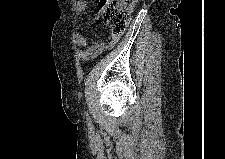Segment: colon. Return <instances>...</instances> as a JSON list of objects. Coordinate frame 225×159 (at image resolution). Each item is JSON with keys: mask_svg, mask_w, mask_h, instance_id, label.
Returning <instances> with one entry per match:
<instances>
[{"mask_svg": "<svg viewBox=\"0 0 225 159\" xmlns=\"http://www.w3.org/2000/svg\"><path fill=\"white\" fill-rule=\"evenodd\" d=\"M137 0H103L101 13L112 36H121L127 27Z\"/></svg>", "mask_w": 225, "mask_h": 159, "instance_id": "1", "label": "colon"}]
</instances>
